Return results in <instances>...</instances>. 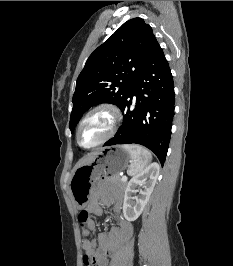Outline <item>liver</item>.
Returning a JSON list of instances; mask_svg holds the SVG:
<instances>
[{
	"label": "liver",
	"mask_w": 233,
	"mask_h": 266,
	"mask_svg": "<svg viewBox=\"0 0 233 266\" xmlns=\"http://www.w3.org/2000/svg\"><path fill=\"white\" fill-rule=\"evenodd\" d=\"M98 152H93V153H89L87 156H85L84 158H82L76 165V168L80 167L81 165L85 164V163H89L90 161H92L94 159V157L97 155Z\"/></svg>",
	"instance_id": "6515ba94"
}]
</instances>
